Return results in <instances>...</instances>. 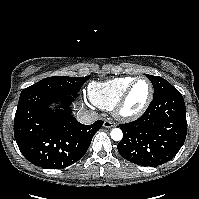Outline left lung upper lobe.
<instances>
[{"label":"left lung upper lobe","instance_id":"5c2ea615","mask_svg":"<svg viewBox=\"0 0 199 199\" xmlns=\"http://www.w3.org/2000/svg\"><path fill=\"white\" fill-rule=\"evenodd\" d=\"M147 77L152 82L154 87L153 99L158 98L163 95L178 92L175 87H173L168 81L159 77L147 74Z\"/></svg>","mask_w":199,"mask_h":199}]
</instances>
